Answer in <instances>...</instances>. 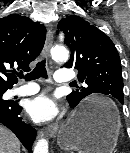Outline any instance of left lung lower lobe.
<instances>
[{
  "label": "left lung lower lobe",
  "mask_w": 130,
  "mask_h": 153,
  "mask_svg": "<svg viewBox=\"0 0 130 153\" xmlns=\"http://www.w3.org/2000/svg\"><path fill=\"white\" fill-rule=\"evenodd\" d=\"M71 107H74V106H71ZM92 112L93 111L91 108H86L83 110L82 114H83V116H89Z\"/></svg>",
  "instance_id": "obj_1"
}]
</instances>
